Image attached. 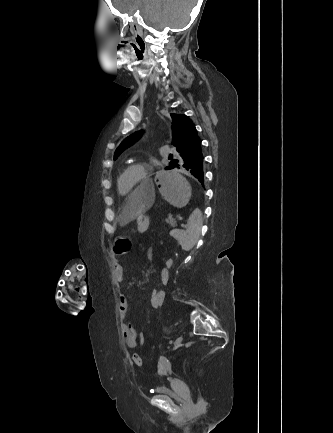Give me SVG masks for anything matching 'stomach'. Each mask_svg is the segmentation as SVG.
<instances>
[{
	"label": "stomach",
	"instance_id": "0dacf381",
	"mask_svg": "<svg viewBox=\"0 0 333 433\" xmlns=\"http://www.w3.org/2000/svg\"><path fill=\"white\" fill-rule=\"evenodd\" d=\"M153 181L158 183L162 198L172 205L174 210H184L189 199H192V190L179 169H159L153 176ZM137 223L140 228L147 227L149 218L147 215H139Z\"/></svg>",
	"mask_w": 333,
	"mask_h": 433
}]
</instances>
